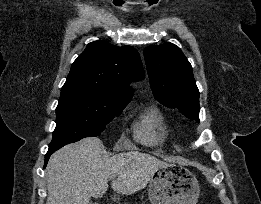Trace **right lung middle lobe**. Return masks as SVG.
I'll list each match as a JSON object with an SVG mask.
<instances>
[{
	"mask_svg": "<svg viewBox=\"0 0 261 204\" xmlns=\"http://www.w3.org/2000/svg\"><path fill=\"white\" fill-rule=\"evenodd\" d=\"M127 102H105L90 93L60 96L56 108V128L50 148L98 136L106 125L126 107Z\"/></svg>",
	"mask_w": 261,
	"mask_h": 204,
	"instance_id": "dd1d6c3e",
	"label": "right lung middle lobe"
}]
</instances>
